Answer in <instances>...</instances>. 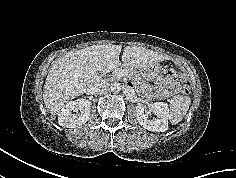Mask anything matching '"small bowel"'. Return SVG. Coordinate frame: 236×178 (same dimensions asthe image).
<instances>
[{"label":"small bowel","instance_id":"1","mask_svg":"<svg viewBox=\"0 0 236 178\" xmlns=\"http://www.w3.org/2000/svg\"><path fill=\"white\" fill-rule=\"evenodd\" d=\"M187 75L182 73L180 79L182 82V87L187 82ZM180 91V87L174 80H168L163 77L159 78L153 86V93L151 98L153 100H162L163 98L170 96L176 92Z\"/></svg>","mask_w":236,"mask_h":178}]
</instances>
